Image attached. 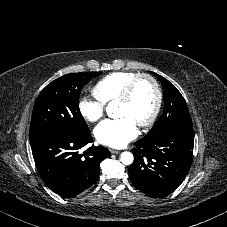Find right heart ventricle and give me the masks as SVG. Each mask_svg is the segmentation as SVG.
Listing matches in <instances>:
<instances>
[{"instance_id": "1", "label": "right heart ventricle", "mask_w": 227, "mask_h": 227, "mask_svg": "<svg viewBox=\"0 0 227 227\" xmlns=\"http://www.w3.org/2000/svg\"><path fill=\"white\" fill-rule=\"evenodd\" d=\"M128 71L113 72L100 79L94 86V93L104 104L117 101L126 85L136 76Z\"/></svg>"}]
</instances>
